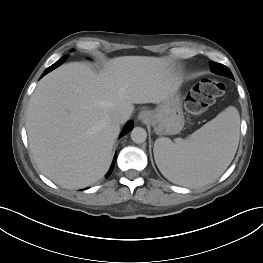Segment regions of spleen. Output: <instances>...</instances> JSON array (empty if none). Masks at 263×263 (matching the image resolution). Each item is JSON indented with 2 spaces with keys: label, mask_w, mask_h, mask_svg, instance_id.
Returning <instances> with one entry per match:
<instances>
[{
  "label": "spleen",
  "mask_w": 263,
  "mask_h": 263,
  "mask_svg": "<svg viewBox=\"0 0 263 263\" xmlns=\"http://www.w3.org/2000/svg\"><path fill=\"white\" fill-rule=\"evenodd\" d=\"M240 116L229 106L189 138L154 143L156 164L169 181L185 187L213 182L232 162L239 144Z\"/></svg>",
  "instance_id": "spleen-1"
}]
</instances>
